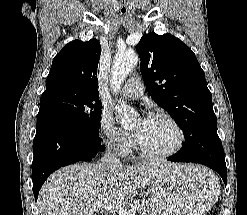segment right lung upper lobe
<instances>
[{
  "instance_id": "cb5924a9",
  "label": "right lung upper lobe",
  "mask_w": 247,
  "mask_h": 215,
  "mask_svg": "<svg viewBox=\"0 0 247 215\" xmlns=\"http://www.w3.org/2000/svg\"><path fill=\"white\" fill-rule=\"evenodd\" d=\"M101 45L96 39L66 44L54 57L47 77L46 91L71 89L87 95H98L97 68Z\"/></svg>"
}]
</instances>
